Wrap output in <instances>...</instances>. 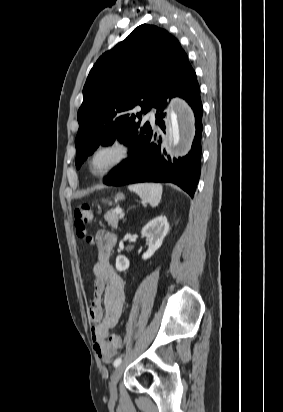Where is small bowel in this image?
Wrapping results in <instances>:
<instances>
[{"label": "small bowel", "instance_id": "obj_1", "mask_svg": "<svg viewBox=\"0 0 283 412\" xmlns=\"http://www.w3.org/2000/svg\"><path fill=\"white\" fill-rule=\"evenodd\" d=\"M116 242V236L109 231L99 230L96 233L97 261L92 269L93 300L88 310L93 322L91 335L94 349L107 363L114 356V351L102 350L104 340L118 324L125 301V282L110 262Z\"/></svg>", "mask_w": 283, "mask_h": 412}]
</instances>
